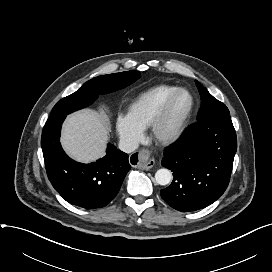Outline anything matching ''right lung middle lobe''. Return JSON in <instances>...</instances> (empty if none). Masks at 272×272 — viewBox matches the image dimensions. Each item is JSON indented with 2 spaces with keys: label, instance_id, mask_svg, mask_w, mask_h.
Here are the masks:
<instances>
[{
  "label": "right lung middle lobe",
  "instance_id": "1",
  "mask_svg": "<svg viewBox=\"0 0 272 272\" xmlns=\"http://www.w3.org/2000/svg\"><path fill=\"white\" fill-rule=\"evenodd\" d=\"M138 71H126L98 76L86 82L78 91L61 99L51 111L49 119L68 115L93 103L99 94L125 88L139 79Z\"/></svg>",
  "mask_w": 272,
  "mask_h": 272
}]
</instances>
